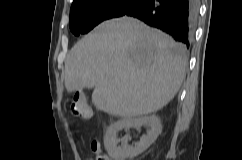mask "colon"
I'll return each instance as SVG.
<instances>
[{
  "instance_id": "1",
  "label": "colon",
  "mask_w": 242,
  "mask_h": 160,
  "mask_svg": "<svg viewBox=\"0 0 242 160\" xmlns=\"http://www.w3.org/2000/svg\"><path fill=\"white\" fill-rule=\"evenodd\" d=\"M69 111L71 114L83 119H90L92 117V110L87 102L84 94L76 92L69 101ZM97 160H103L102 155H98Z\"/></svg>"
}]
</instances>
